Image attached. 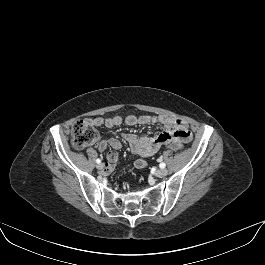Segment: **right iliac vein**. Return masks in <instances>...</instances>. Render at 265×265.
Returning <instances> with one entry per match:
<instances>
[{"mask_svg":"<svg viewBox=\"0 0 265 265\" xmlns=\"http://www.w3.org/2000/svg\"><path fill=\"white\" fill-rule=\"evenodd\" d=\"M103 168H104V164L103 163L97 164V169L102 170Z\"/></svg>","mask_w":265,"mask_h":265,"instance_id":"obj_1","label":"right iliac vein"}]
</instances>
